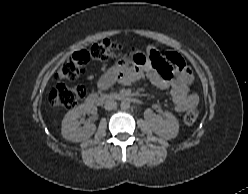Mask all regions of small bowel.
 <instances>
[{
  "instance_id": "small-bowel-1",
  "label": "small bowel",
  "mask_w": 248,
  "mask_h": 194,
  "mask_svg": "<svg viewBox=\"0 0 248 194\" xmlns=\"http://www.w3.org/2000/svg\"><path fill=\"white\" fill-rule=\"evenodd\" d=\"M152 50L155 49L149 47L148 53L138 56L133 65L120 63L111 67L99 79L98 88L105 90L117 81L130 84L146 78L158 88L169 89L176 111L184 112L195 108L199 98L189 88L193 81L192 70L180 55L173 52L160 55L161 64H156L150 58Z\"/></svg>"
}]
</instances>
